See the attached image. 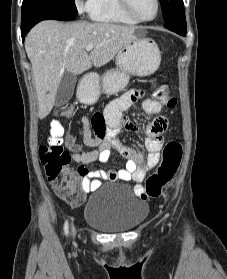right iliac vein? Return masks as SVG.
I'll use <instances>...</instances> for the list:
<instances>
[{"instance_id":"right-iliac-vein-1","label":"right iliac vein","mask_w":227,"mask_h":279,"mask_svg":"<svg viewBox=\"0 0 227 279\" xmlns=\"http://www.w3.org/2000/svg\"><path fill=\"white\" fill-rule=\"evenodd\" d=\"M73 234L75 235V231L73 230Z\"/></svg>"}]
</instances>
